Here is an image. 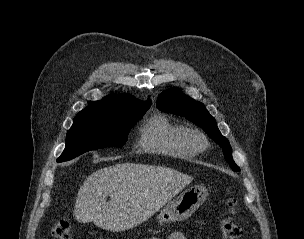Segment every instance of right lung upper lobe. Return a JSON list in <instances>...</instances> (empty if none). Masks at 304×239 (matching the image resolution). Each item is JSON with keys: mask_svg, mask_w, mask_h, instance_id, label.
<instances>
[{"mask_svg": "<svg viewBox=\"0 0 304 239\" xmlns=\"http://www.w3.org/2000/svg\"><path fill=\"white\" fill-rule=\"evenodd\" d=\"M148 100L142 102L129 94L107 96L100 101H93L78 115H111L124 112L128 108L150 107Z\"/></svg>", "mask_w": 304, "mask_h": 239, "instance_id": "cb5924a9", "label": "right lung upper lobe"}]
</instances>
